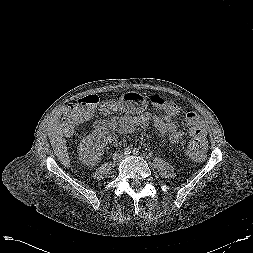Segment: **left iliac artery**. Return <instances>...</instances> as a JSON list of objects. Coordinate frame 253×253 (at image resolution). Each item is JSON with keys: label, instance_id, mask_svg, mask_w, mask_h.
Wrapping results in <instances>:
<instances>
[{"label": "left iliac artery", "instance_id": "obj_1", "mask_svg": "<svg viewBox=\"0 0 253 253\" xmlns=\"http://www.w3.org/2000/svg\"><path fill=\"white\" fill-rule=\"evenodd\" d=\"M138 153H139V150H138V149H136V148L133 149V154H136V155H137Z\"/></svg>", "mask_w": 253, "mask_h": 253}]
</instances>
